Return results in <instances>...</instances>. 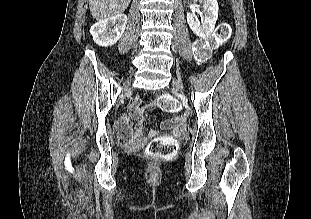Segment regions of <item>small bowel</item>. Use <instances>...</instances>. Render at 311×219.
<instances>
[{"label": "small bowel", "mask_w": 311, "mask_h": 219, "mask_svg": "<svg viewBox=\"0 0 311 219\" xmlns=\"http://www.w3.org/2000/svg\"><path fill=\"white\" fill-rule=\"evenodd\" d=\"M140 104L141 100L140 98H135L130 105V113L131 116H123L122 118V124L125 126H128L130 123V119H135L137 121V126L135 130L131 131L130 133H125L122 136V139L125 143L129 141H138L142 138V124L144 123V116L140 110ZM168 127L171 129L172 133L175 136H181L185 132V128L180 122V119L178 117L174 118L173 121L168 125Z\"/></svg>", "instance_id": "c3829d8e"}]
</instances>
